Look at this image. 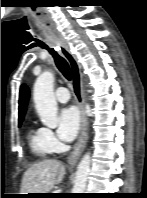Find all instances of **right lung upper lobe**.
<instances>
[{
	"mask_svg": "<svg viewBox=\"0 0 147 198\" xmlns=\"http://www.w3.org/2000/svg\"><path fill=\"white\" fill-rule=\"evenodd\" d=\"M28 99H29V89L25 84H23L20 88V95H19V119L24 118Z\"/></svg>",
	"mask_w": 147,
	"mask_h": 198,
	"instance_id": "obj_1",
	"label": "right lung upper lobe"
}]
</instances>
